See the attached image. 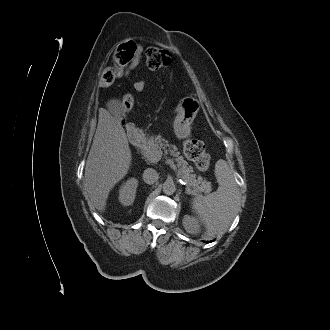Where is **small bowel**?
<instances>
[{
    "mask_svg": "<svg viewBox=\"0 0 330 330\" xmlns=\"http://www.w3.org/2000/svg\"><path fill=\"white\" fill-rule=\"evenodd\" d=\"M141 61V47L135 44V54L132 61L117 73L118 78L128 77L139 65ZM146 82L144 79H139L134 82L133 88L136 92H142L145 88Z\"/></svg>",
    "mask_w": 330,
    "mask_h": 330,
    "instance_id": "1",
    "label": "small bowel"
}]
</instances>
